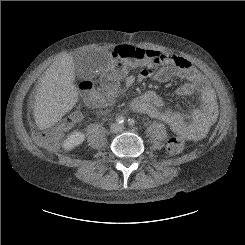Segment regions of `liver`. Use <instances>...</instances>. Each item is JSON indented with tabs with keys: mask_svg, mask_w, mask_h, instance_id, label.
<instances>
[{
	"mask_svg": "<svg viewBox=\"0 0 245 245\" xmlns=\"http://www.w3.org/2000/svg\"><path fill=\"white\" fill-rule=\"evenodd\" d=\"M74 59L64 55L44 72L37 88L34 119L40 130L55 125L76 104Z\"/></svg>",
	"mask_w": 245,
	"mask_h": 245,
	"instance_id": "obj_1",
	"label": "liver"
}]
</instances>
